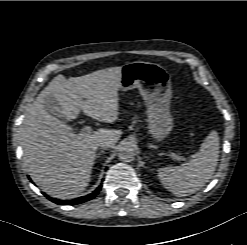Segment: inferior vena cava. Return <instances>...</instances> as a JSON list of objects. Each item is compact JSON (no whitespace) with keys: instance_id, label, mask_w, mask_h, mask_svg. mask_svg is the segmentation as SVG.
Masks as SVG:
<instances>
[{"instance_id":"602c4592","label":"inferior vena cava","mask_w":247,"mask_h":245,"mask_svg":"<svg viewBox=\"0 0 247 245\" xmlns=\"http://www.w3.org/2000/svg\"><path fill=\"white\" fill-rule=\"evenodd\" d=\"M99 147H100L101 149L106 150V149H108V148L111 147V143L108 142V141H103V142H101V143L99 144Z\"/></svg>"}]
</instances>
